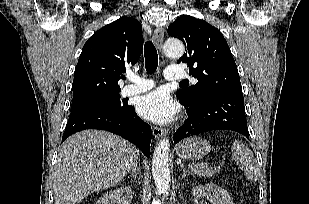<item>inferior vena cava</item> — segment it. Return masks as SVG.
Masks as SVG:
<instances>
[{
	"label": "inferior vena cava",
	"mask_w": 309,
	"mask_h": 204,
	"mask_svg": "<svg viewBox=\"0 0 309 204\" xmlns=\"http://www.w3.org/2000/svg\"><path fill=\"white\" fill-rule=\"evenodd\" d=\"M132 171L136 172L139 171V169H137V163L135 162L131 168Z\"/></svg>",
	"instance_id": "1"
}]
</instances>
